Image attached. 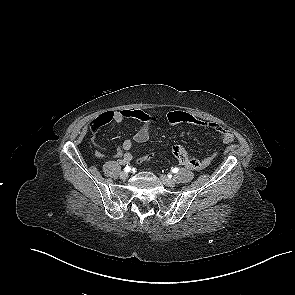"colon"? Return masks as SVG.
Segmentation results:
<instances>
[{"mask_svg": "<svg viewBox=\"0 0 295 295\" xmlns=\"http://www.w3.org/2000/svg\"><path fill=\"white\" fill-rule=\"evenodd\" d=\"M152 157H153L152 153L144 154L143 156L140 157L139 162L140 163L148 162Z\"/></svg>", "mask_w": 295, "mask_h": 295, "instance_id": "1", "label": "colon"}]
</instances>
